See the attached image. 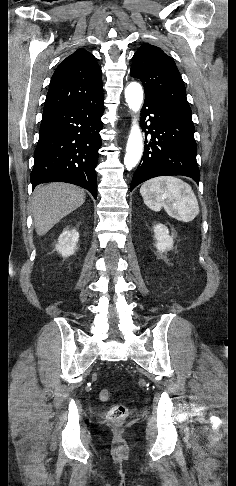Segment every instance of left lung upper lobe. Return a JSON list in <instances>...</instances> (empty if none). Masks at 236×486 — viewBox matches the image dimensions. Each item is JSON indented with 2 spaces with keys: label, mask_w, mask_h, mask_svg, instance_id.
Listing matches in <instances>:
<instances>
[{
  "label": "left lung upper lobe",
  "mask_w": 236,
  "mask_h": 486,
  "mask_svg": "<svg viewBox=\"0 0 236 486\" xmlns=\"http://www.w3.org/2000/svg\"><path fill=\"white\" fill-rule=\"evenodd\" d=\"M130 73L142 81L145 96L178 115L192 118L182 77L174 60L160 48L144 43L133 56Z\"/></svg>",
  "instance_id": "obj_1"
}]
</instances>
